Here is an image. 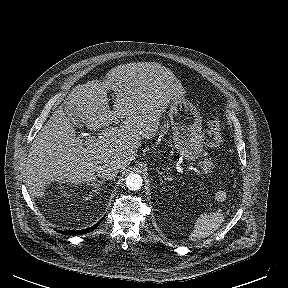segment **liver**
I'll use <instances>...</instances> for the list:
<instances>
[{"instance_id":"liver-1","label":"liver","mask_w":288,"mask_h":288,"mask_svg":"<svg viewBox=\"0 0 288 288\" xmlns=\"http://www.w3.org/2000/svg\"><path fill=\"white\" fill-rule=\"evenodd\" d=\"M116 94L113 110L107 93ZM180 81L157 62L119 65L101 80L88 81L70 94L39 131L30 147L25 182L32 196L43 197L46 184L96 181L97 165L115 161L120 170L135 158L141 141L154 137L168 104L183 95ZM78 112L89 130H99L92 142L76 137L70 120ZM122 125L111 127L112 123Z\"/></svg>"}]
</instances>
